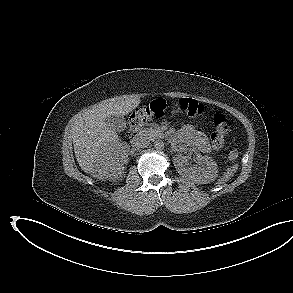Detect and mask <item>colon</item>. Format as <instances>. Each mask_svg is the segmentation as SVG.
I'll use <instances>...</instances> for the list:
<instances>
[{
  "label": "colon",
  "instance_id": "colon-1",
  "mask_svg": "<svg viewBox=\"0 0 293 293\" xmlns=\"http://www.w3.org/2000/svg\"><path fill=\"white\" fill-rule=\"evenodd\" d=\"M181 109L190 117H196L203 111L202 105L194 99L184 98L180 101ZM166 111V103L163 100H155L149 105L136 109L129 118L127 134L135 135L143 125L153 118H160ZM215 132L211 135V142L215 148H220L224 144L225 136L228 134L231 120L223 113L217 112L213 116ZM239 152L233 148L229 153V159L236 161Z\"/></svg>",
  "mask_w": 293,
  "mask_h": 293
}]
</instances>
